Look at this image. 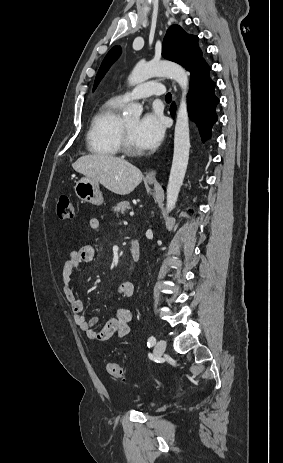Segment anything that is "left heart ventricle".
Here are the masks:
<instances>
[{"mask_svg":"<svg viewBox=\"0 0 283 463\" xmlns=\"http://www.w3.org/2000/svg\"><path fill=\"white\" fill-rule=\"evenodd\" d=\"M137 123H138L137 119H132V120L125 121V125L127 127L132 146L137 150H141V148L138 146V144L136 143L135 138H134V129H135Z\"/></svg>","mask_w":283,"mask_h":463,"instance_id":"b2bd125f","label":"left heart ventricle"}]
</instances>
